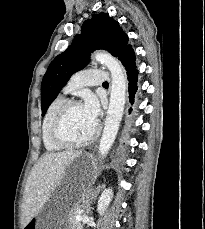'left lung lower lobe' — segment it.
Listing matches in <instances>:
<instances>
[{
    "instance_id": "left-lung-lower-lobe-1",
    "label": "left lung lower lobe",
    "mask_w": 205,
    "mask_h": 229,
    "mask_svg": "<svg viewBox=\"0 0 205 229\" xmlns=\"http://www.w3.org/2000/svg\"><path fill=\"white\" fill-rule=\"evenodd\" d=\"M118 59L121 61L123 66L125 67L128 75L129 81V101L131 105L137 100V77H138V70L135 63V53L132 49L131 45L127 46L118 56ZM133 111L132 108L129 109V113Z\"/></svg>"
}]
</instances>
